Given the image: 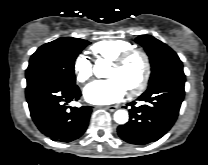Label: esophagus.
I'll list each match as a JSON object with an SVG mask.
<instances>
[{"label": "esophagus", "mask_w": 208, "mask_h": 165, "mask_svg": "<svg viewBox=\"0 0 208 165\" xmlns=\"http://www.w3.org/2000/svg\"><path fill=\"white\" fill-rule=\"evenodd\" d=\"M100 108V107H97ZM101 108L107 109L109 111H115L117 110L118 106L117 105H113V106H102Z\"/></svg>", "instance_id": "obj_1"}]
</instances>
